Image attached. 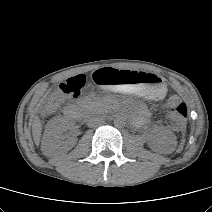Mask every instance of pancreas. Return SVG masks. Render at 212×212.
<instances>
[{
    "mask_svg": "<svg viewBox=\"0 0 212 212\" xmlns=\"http://www.w3.org/2000/svg\"><path fill=\"white\" fill-rule=\"evenodd\" d=\"M81 104L86 111L96 110L102 105L101 101L95 97H85L81 100Z\"/></svg>",
    "mask_w": 212,
    "mask_h": 212,
    "instance_id": "obj_1",
    "label": "pancreas"
}]
</instances>
